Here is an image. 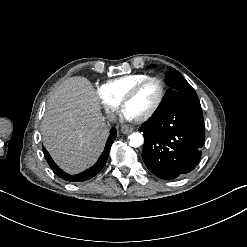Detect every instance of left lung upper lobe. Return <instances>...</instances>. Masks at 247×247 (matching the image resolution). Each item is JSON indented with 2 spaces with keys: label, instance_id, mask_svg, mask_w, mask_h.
Instances as JSON below:
<instances>
[{
  "label": "left lung upper lobe",
  "instance_id": "left-lung-upper-lobe-1",
  "mask_svg": "<svg viewBox=\"0 0 247 247\" xmlns=\"http://www.w3.org/2000/svg\"><path fill=\"white\" fill-rule=\"evenodd\" d=\"M151 67H154L151 65ZM169 71L166 75V83L169 86L159 108L154 115L164 110L181 104H197L200 105L198 96L185 78L174 68L168 67Z\"/></svg>",
  "mask_w": 247,
  "mask_h": 247
}]
</instances>
